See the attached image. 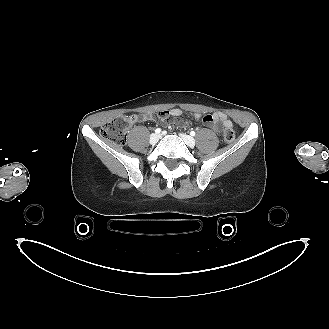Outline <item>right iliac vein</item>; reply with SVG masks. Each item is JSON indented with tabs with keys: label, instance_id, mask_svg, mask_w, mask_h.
Returning <instances> with one entry per match:
<instances>
[{
	"label": "right iliac vein",
	"instance_id": "obj_1",
	"mask_svg": "<svg viewBox=\"0 0 329 329\" xmlns=\"http://www.w3.org/2000/svg\"><path fill=\"white\" fill-rule=\"evenodd\" d=\"M160 135L159 134H152L149 138V142L150 144H156L158 142V140L160 139Z\"/></svg>",
	"mask_w": 329,
	"mask_h": 329
}]
</instances>
